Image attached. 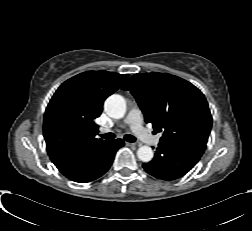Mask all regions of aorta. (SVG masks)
<instances>
[{
  "label": "aorta",
  "mask_w": 252,
  "mask_h": 231,
  "mask_svg": "<svg viewBox=\"0 0 252 231\" xmlns=\"http://www.w3.org/2000/svg\"><path fill=\"white\" fill-rule=\"evenodd\" d=\"M104 109L109 117L121 119L126 113L125 99L121 95L113 94L106 99ZM153 156V150L149 146H141L137 150V157L142 162H150L153 159Z\"/></svg>",
  "instance_id": "1"
}]
</instances>
